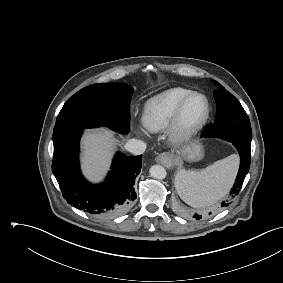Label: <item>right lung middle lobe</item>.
Listing matches in <instances>:
<instances>
[{
  "mask_svg": "<svg viewBox=\"0 0 283 283\" xmlns=\"http://www.w3.org/2000/svg\"><path fill=\"white\" fill-rule=\"evenodd\" d=\"M132 94V87L124 83L94 84L81 89L67 100L57 117L54 145L86 128L107 126L127 133Z\"/></svg>",
  "mask_w": 283,
  "mask_h": 283,
  "instance_id": "1",
  "label": "right lung middle lobe"
}]
</instances>
